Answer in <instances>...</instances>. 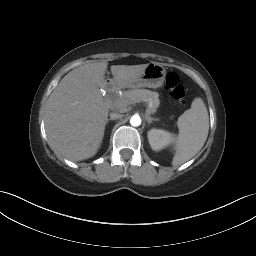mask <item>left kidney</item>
I'll use <instances>...</instances> for the list:
<instances>
[{
  "instance_id": "5707ae66",
  "label": "left kidney",
  "mask_w": 256,
  "mask_h": 256,
  "mask_svg": "<svg viewBox=\"0 0 256 256\" xmlns=\"http://www.w3.org/2000/svg\"><path fill=\"white\" fill-rule=\"evenodd\" d=\"M148 140L151 148L155 151L163 149L173 140L171 133L162 129H151L148 131Z\"/></svg>"
}]
</instances>
